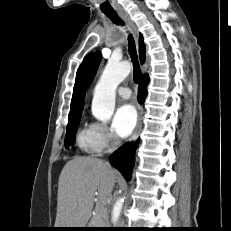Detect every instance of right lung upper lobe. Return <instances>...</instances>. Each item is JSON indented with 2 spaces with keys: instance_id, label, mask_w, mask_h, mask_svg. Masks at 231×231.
<instances>
[{
  "instance_id": "cb5924a9",
  "label": "right lung upper lobe",
  "mask_w": 231,
  "mask_h": 231,
  "mask_svg": "<svg viewBox=\"0 0 231 231\" xmlns=\"http://www.w3.org/2000/svg\"><path fill=\"white\" fill-rule=\"evenodd\" d=\"M91 55L92 54L90 53L84 58L82 64L79 66L77 70L76 81L73 88V96L71 99V109L68 118L79 115L82 112L84 106L83 99L85 96L84 84H85L86 72H87ZM139 56H140L141 63H143L145 59V45L143 43V37L141 34L139 37ZM146 76L148 75L147 74L143 75V77Z\"/></svg>"
}]
</instances>
